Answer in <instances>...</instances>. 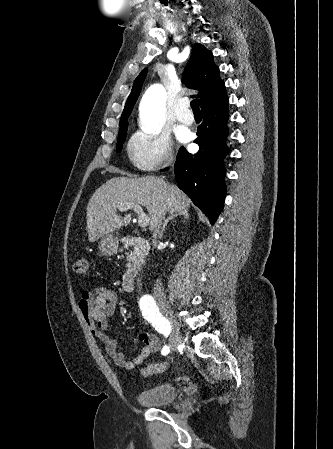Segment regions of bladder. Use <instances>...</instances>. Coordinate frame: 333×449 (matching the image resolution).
Listing matches in <instances>:
<instances>
[{
  "label": "bladder",
  "mask_w": 333,
  "mask_h": 449,
  "mask_svg": "<svg viewBox=\"0 0 333 449\" xmlns=\"http://www.w3.org/2000/svg\"><path fill=\"white\" fill-rule=\"evenodd\" d=\"M180 396V390L172 383L162 382L138 391L137 402L146 407H162L175 403Z\"/></svg>",
  "instance_id": "1"
}]
</instances>
